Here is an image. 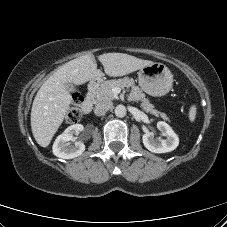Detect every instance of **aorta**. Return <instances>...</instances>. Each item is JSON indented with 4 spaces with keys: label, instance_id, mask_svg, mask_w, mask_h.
I'll return each instance as SVG.
<instances>
[{
    "label": "aorta",
    "instance_id": "1",
    "mask_svg": "<svg viewBox=\"0 0 227 227\" xmlns=\"http://www.w3.org/2000/svg\"><path fill=\"white\" fill-rule=\"evenodd\" d=\"M126 107L124 105H117L115 108V115L117 117H124L126 115Z\"/></svg>",
    "mask_w": 227,
    "mask_h": 227
}]
</instances>
